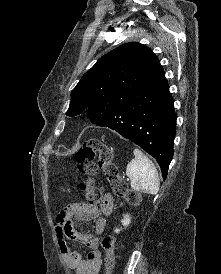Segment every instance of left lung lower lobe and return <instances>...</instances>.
Returning <instances> with one entry per match:
<instances>
[{"label":"left lung lower lobe","instance_id":"obj_1","mask_svg":"<svg viewBox=\"0 0 221 274\" xmlns=\"http://www.w3.org/2000/svg\"><path fill=\"white\" fill-rule=\"evenodd\" d=\"M93 123L115 130L139 145L156 159L166 179L173 158L176 114L162 66L137 97L99 112Z\"/></svg>","mask_w":221,"mask_h":274}]
</instances>
